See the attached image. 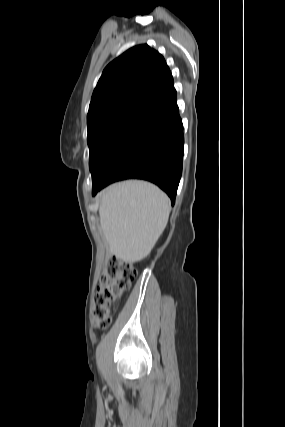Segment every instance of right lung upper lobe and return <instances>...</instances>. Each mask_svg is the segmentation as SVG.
Returning <instances> with one entry per match:
<instances>
[{"instance_id": "right-lung-upper-lobe-1", "label": "right lung upper lobe", "mask_w": 285, "mask_h": 427, "mask_svg": "<svg viewBox=\"0 0 285 427\" xmlns=\"http://www.w3.org/2000/svg\"><path fill=\"white\" fill-rule=\"evenodd\" d=\"M172 88L173 78L163 56L148 45L132 47L104 69L87 122L120 110L144 111Z\"/></svg>"}]
</instances>
